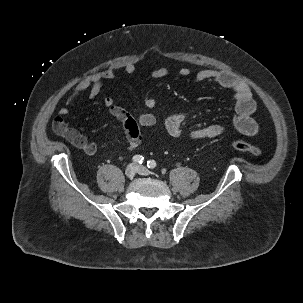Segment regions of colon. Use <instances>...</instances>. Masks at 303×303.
<instances>
[{"label":"colon","instance_id":"colon-1","mask_svg":"<svg viewBox=\"0 0 303 303\" xmlns=\"http://www.w3.org/2000/svg\"><path fill=\"white\" fill-rule=\"evenodd\" d=\"M230 144L236 150L247 152L254 156H259L262 153L259 146L248 143L244 140H233Z\"/></svg>","mask_w":303,"mask_h":303}]
</instances>
